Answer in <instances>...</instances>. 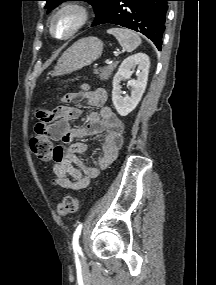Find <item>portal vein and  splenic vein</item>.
<instances>
[{"label": "portal vein and splenic vein", "instance_id": "obj_1", "mask_svg": "<svg viewBox=\"0 0 216 285\" xmlns=\"http://www.w3.org/2000/svg\"><path fill=\"white\" fill-rule=\"evenodd\" d=\"M115 55H117V54L115 53ZM107 63H111V61H107Z\"/></svg>", "mask_w": 216, "mask_h": 285}]
</instances>
